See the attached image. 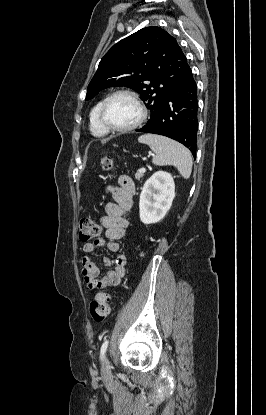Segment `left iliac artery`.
<instances>
[{"mask_svg":"<svg viewBox=\"0 0 266 415\" xmlns=\"http://www.w3.org/2000/svg\"><path fill=\"white\" fill-rule=\"evenodd\" d=\"M108 343H109V341H108V340H105V341L103 342L102 346H101V349H100V358H101V359L103 358V356H104V354H105V352H106V350H107Z\"/></svg>","mask_w":266,"mask_h":415,"instance_id":"1","label":"left iliac artery"}]
</instances>
